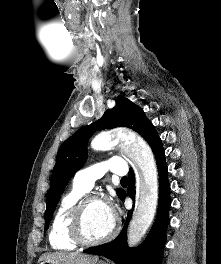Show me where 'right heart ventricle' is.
<instances>
[{
	"mask_svg": "<svg viewBox=\"0 0 221 264\" xmlns=\"http://www.w3.org/2000/svg\"><path fill=\"white\" fill-rule=\"evenodd\" d=\"M87 191L73 184L63 196L54 215L49 233V242L56 250L70 251L77 247L69 234V218L74 205Z\"/></svg>",
	"mask_w": 221,
	"mask_h": 264,
	"instance_id": "right-heart-ventricle-1",
	"label": "right heart ventricle"
}]
</instances>
